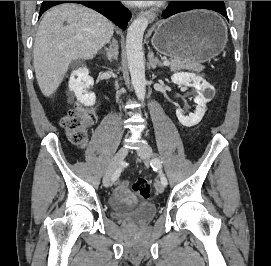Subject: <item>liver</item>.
Listing matches in <instances>:
<instances>
[{"mask_svg":"<svg viewBox=\"0 0 271 266\" xmlns=\"http://www.w3.org/2000/svg\"><path fill=\"white\" fill-rule=\"evenodd\" d=\"M113 33L112 22L82 5L61 4L47 11L33 51L36 79L43 95L49 97L58 89L71 62L92 59Z\"/></svg>","mask_w":271,"mask_h":266,"instance_id":"1","label":"liver"}]
</instances>
